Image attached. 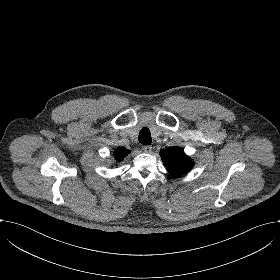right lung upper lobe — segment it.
<instances>
[{"label":"right lung upper lobe","instance_id":"obj_1","mask_svg":"<svg viewBox=\"0 0 280 280\" xmlns=\"http://www.w3.org/2000/svg\"><path fill=\"white\" fill-rule=\"evenodd\" d=\"M130 153L129 150L123 148V147H118L115 152H114V156H115V159L116 161L120 162L124 159V157L126 155H128Z\"/></svg>","mask_w":280,"mask_h":280}]
</instances>
